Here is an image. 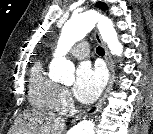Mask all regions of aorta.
<instances>
[{"instance_id": "762f6f07", "label": "aorta", "mask_w": 153, "mask_h": 134, "mask_svg": "<svg viewBox=\"0 0 153 134\" xmlns=\"http://www.w3.org/2000/svg\"><path fill=\"white\" fill-rule=\"evenodd\" d=\"M96 23H98L102 39L107 43L111 53L121 56L123 46L118 41L117 32L109 19L100 17L94 11L76 14L63 26L50 65L51 74L62 83L74 82V66L65 58V55L77 41L84 38L95 27ZM73 132V134H95L94 123L90 120L82 121L74 127Z\"/></svg>"}]
</instances>
